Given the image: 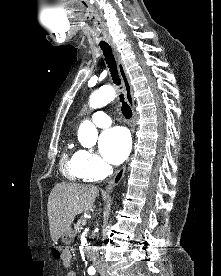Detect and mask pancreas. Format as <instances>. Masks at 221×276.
Listing matches in <instances>:
<instances>
[{"label":"pancreas","mask_w":221,"mask_h":276,"mask_svg":"<svg viewBox=\"0 0 221 276\" xmlns=\"http://www.w3.org/2000/svg\"><path fill=\"white\" fill-rule=\"evenodd\" d=\"M82 221L83 220L80 218V219H78L77 223L74 224L75 233H79L81 231L82 225H83Z\"/></svg>","instance_id":"pancreas-1"}]
</instances>
